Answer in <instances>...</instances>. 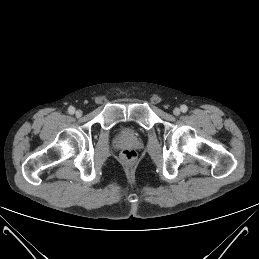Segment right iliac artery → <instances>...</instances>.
<instances>
[{"mask_svg": "<svg viewBox=\"0 0 259 259\" xmlns=\"http://www.w3.org/2000/svg\"><path fill=\"white\" fill-rule=\"evenodd\" d=\"M68 112H69V114H74L75 108H74L73 106H70V107L68 108Z\"/></svg>", "mask_w": 259, "mask_h": 259, "instance_id": "right-iliac-artery-1", "label": "right iliac artery"}]
</instances>
